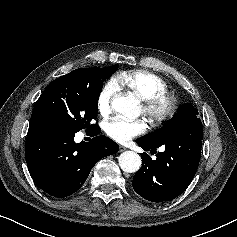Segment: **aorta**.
<instances>
[{"label": "aorta", "instance_id": "aorta-1", "mask_svg": "<svg viewBox=\"0 0 237 237\" xmlns=\"http://www.w3.org/2000/svg\"><path fill=\"white\" fill-rule=\"evenodd\" d=\"M138 100L132 96H115L111 101V107L118 113L129 118H135L139 115ZM121 169L128 173L136 172L141 167V157L133 151H125L118 158Z\"/></svg>", "mask_w": 237, "mask_h": 237}]
</instances>
